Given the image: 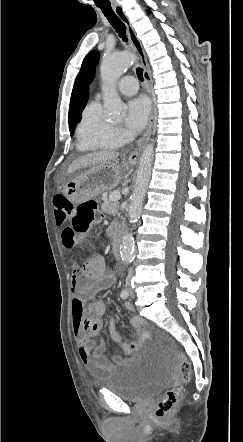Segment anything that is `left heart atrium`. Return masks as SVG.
I'll list each match as a JSON object with an SVG mask.
<instances>
[{"instance_id": "obj_1", "label": "left heart atrium", "mask_w": 243, "mask_h": 442, "mask_svg": "<svg viewBox=\"0 0 243 442\" xmlns=\"http://www.w3.org/2000/svg\"><path fill=\"white\" fill-rule=\"evenodd\" d=\"M150 103L144 96L133 98L127 105L126 126L131 131H140L146 125Z\"/></svg>"}]
</instances>
